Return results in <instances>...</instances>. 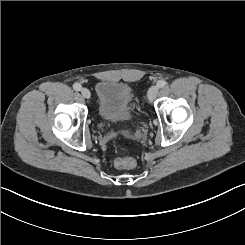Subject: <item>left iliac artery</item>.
Masks as SVG:
<instances>
[{
	"label": "left iliac artery",
	"mask_w": 245,
	"mask_h": 245,
	"mask_svg": "<svg viewBox=\"0 0 245 245\" xmlns=\"http://www.w3.org/2000/svg\"><path fill=\"white\" fill-rule=\"evenodd\" d=\"M165 85H166V81H164V80H159V81L157 82V86H158L159 88H163Z\"/></svg>",
	"instance_id": "obj_1"
}]
</instances>
